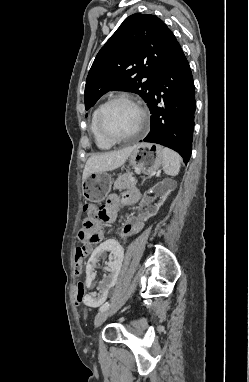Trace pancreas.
<instances>
[{"label":"pancreas","instance_id":"pancreas-1","mask_svg":"<svg viewBox=\"0 0 249 382\" xmlns=\"http://www.w3.org/2000/svg\"><path fill=\"white\" fill-rule=\"evenodd\" d=\"M133 177L132 172H127L123 175H119L116 181L114 182V189L123 190H136V182H132L130 179Z\"/></svg>","mask_w":249,"mask_h":382}]
</instances>
